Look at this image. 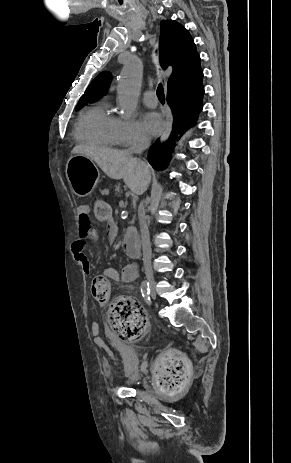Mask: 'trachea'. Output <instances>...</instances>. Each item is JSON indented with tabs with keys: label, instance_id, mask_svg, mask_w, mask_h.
I'll return each mask as SVG.
<instances>
[{
	"label": "trachea",
	"instance_id": "trachea-1",
	"mask_svg": "<svg viewBox=\"0 0 291 463\" xmlns=\"http://www.w3.org/2000/svg\"><path fill=\"white\" fill-rule=\"evenodd\" d=\"M157 96L161 102L165 101L164 90L161 83L157 87Z\"/></svg>",
	"mask_w": 291,
	"mask_h": 463
}]
</instances>
